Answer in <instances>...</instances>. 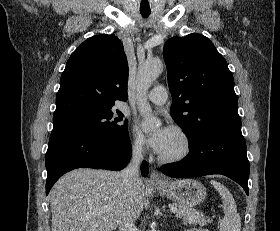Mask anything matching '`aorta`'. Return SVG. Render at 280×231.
<instances>
[{
    "label": "aorta",
    "mask_w": 280,
    "mask_h": 231,
    "mask_svg": "<svg viewBox=\"0 0 280 231\" xmlns=\"http://www.w3.org/2000/svg\"><path fill=\"white\" fill-rule=\"evenodd\" d=\"M163 68L162 60L145 62V64L138 68L137 108L139 114L143 117L141 127L145 133L154 131L161 123L160 119L152 114L151 106L146 100V94L154 80L162 74Z\"/></svg>",
    "instance_id": "aorta-1"
}]
</instances>
